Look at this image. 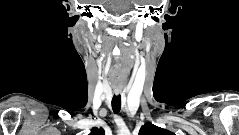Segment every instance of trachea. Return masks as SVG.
<instances>
[{
	"label": "trachea",
	"mask_w": 239,
	"mask_h": 135,
	"mask_svg": "<svg viewBox=\"0 0 239 135\" xmlns=\"http://www.w3.org/2000/svg\"><path fill=\"white\" fill-rule=\"evenodd\" d=\"M112 109L115 114L120 112L121 109V96L114 95L112 98Z\"/></svg>",
	"instance_id": "1"
}]
</instances>
